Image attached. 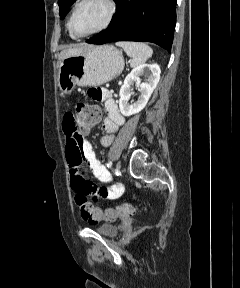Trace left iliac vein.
<instances>
[{
  "label": "left iliac vein",
  "instance_id": "4c4485c4",
  "mask_svg": "<svg viewBox=\"0 0 240 288\" xmlns=\"http://www.w3.org/2000/svg\"><path fill=\"white\" fill-rule=\"evenodd\" d=\"M115 170H116L117 172H120V170H121V163H120V162H118V163L116 164Z\"/></svg>",
  "mask_w": 240,
  "mask_h": 288
}]
</instances>
